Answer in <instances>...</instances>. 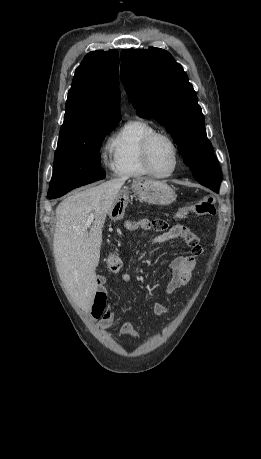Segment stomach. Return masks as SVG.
I'll use <instances>...</instances> for the list:
<instances>
[{"mask_svg":"<svg viewBox=\"0 0 261 459\" xmlns=\"http://www.w3.org/2000/svg\"><path fill=\"white\" fill-rule=\"evenodd\" d=\"M130 190L141 201L152 205L167 206L176 199L174 190L164 181L143 177L135 178L131 181L130 187L124 186L120 190L116 198V205L110 212L111 218L117 219L120 216L119 211L121 213L125 209Z\"/></svg>","mask_w":261,"mask_h":459,"instance_id":"0dacf381","label":"stomach"}]
</instances>
